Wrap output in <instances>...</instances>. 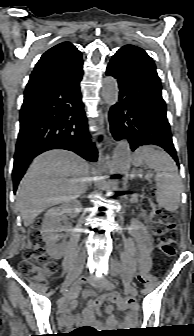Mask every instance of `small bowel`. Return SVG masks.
<instances>
[{
	"label": "small bowel",
	"instance_id": "small-bowel-1",
	"mask_svg": "<svg viewBox=\"0 0 194 336\" xmlns=\"http://www.w3.org/2000/svg\"><path fill=\"white\" fill-rule=\"evenodd\" d=\"M131 234L136 242L138 249V256L136 258V263L138 264L140 270L143 273H147L151 268V250H152V242L150 236L147 232L145 225L137 220L133 221L130 227ZM96 290H106V294L100 295L96 297L94 300L89 301L87 308L83 313V320L86 323L92 324L94 322V315L96 309L100 307L107 301H116L120 304L122 301L120 295L114 290L113 286L107 283L104 280H100L96 282ZM93 295V291H85L83 293L84 297H88ZM75 293L69 295L61 302V312H60V320L65 326H70L72 324L81 323L82 319L80 317L72 318L69 315V310L75 307ZM108 313L109 322L113 323L117 320V317L114 314L113 307L108 306L106 308Z\"/></svg>",
	"mask_w": 194,
	"mask_h": 336
}]
</instances>
